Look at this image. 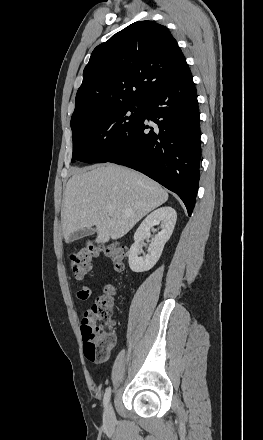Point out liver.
I'll return each mask as SVG.
<instances>
[{
    "mask_svg": "<svg viewBox=\"0 0 263 440\" xmlns=\"http://www.w3.org/2000/svg\"><path fill=\"white\" fill-rule=\"evenodd\" d=\"M167 200L157 182L137 171L114 164L77 169L64 191V238L96 226V243L119 239ZM110 206L114 210L108 211Z\"/></svg>",
    "mask_w": 263,
    "mask_h": 440,
    "instance_id": "1",
    "label": "liver"
}]
</instances>
